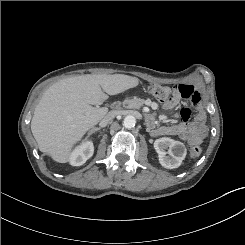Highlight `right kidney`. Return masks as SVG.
Segmentation results:
<instances>
[{
	"mask_svg": "<svg viewBox=\"0 0 245 245\" xmlns=\"http://www.w3.org/2000/svg\"><path fill=\"white\" fill-rule=\"evenodd\" d=\"M93 153V142L84 141L72 151L69 162L73 166H81L93 155Z\"/></svg>",
	"mask_w": 245,
	"mask_h": 245,
	"instance_id": "1",
	"label": "right kidney"
}]
</instances>
